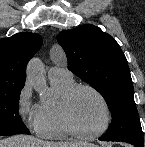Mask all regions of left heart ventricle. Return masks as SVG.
I'll return each instance as SVG.
<instances>
[{
  "label": "left heart ventricle",
  "instance_id": "b2bd125f",
  "mask_svg": "<svg viewBox=\"0 0 145 147\" xmlns=\"http://www.w3.org/2000/svg\"><path fill=\"white\" fill-rule=\"evenodd\" d=\"M72 113L84 131L94 132L104 126L106 112L98 97L88 90L80 91L73 100Z\"/></svg>",
  "mask_w": 145,
  "mask_h": 147
}]
</instances>
